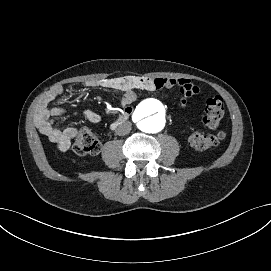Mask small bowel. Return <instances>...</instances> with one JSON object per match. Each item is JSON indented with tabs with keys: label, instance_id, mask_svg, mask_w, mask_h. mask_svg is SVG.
I'll list each match as a JSON object with an SVG mask.
<instances>
[{
	"label": "small bowel",
	"instance_id": "c3829d8e",
	"mask_svg": "<svg viewBox=\"0 0 271 271\" xmlns=\"http://www.w3.org/2000/svg\"><path fill=\"white\" fill-rule=\"evenodd\" d=\"M86 87H102L116 90L121 93L120 105L124 108L129 106L136 99L137 90L155 91L162 88L178 87L182 98L180 105L185 107L188 100L200 92L198 86L190 80L184 78H146L135 76L112 77L100 80H91L85 83ZM64 93L61 86H55L49 89L40 98L35 114L34 124L37 129L55 143L61 150H67L71 141L78 135L75 127L62 128L55 124V118L65 114L66 109L63 106L51 107V103L60 98ZM83 118L91 123H98L101 117L98 113L90 109L81 111Z\"/></svg>",
	"mask_w": 271,
	"mask_h": 271
}]
</instances>
